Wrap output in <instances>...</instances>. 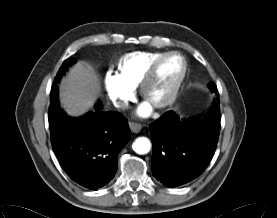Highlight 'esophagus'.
<instances>
[{"label": "esophagus", "mask_w": 277, "mask_h": 218, "mask_svg": "<svg viewBox=\"0 0 277 218\" xmlns=\"http://www.w3.org/2000/svg\"><path fill=\"white\" fill-rule=\"evenodd\" d=\"M129 127L133 133H139L142 129V125L135 122H129Z\"/></svg>", "instance_id": "obj_1"}]
</instances>
